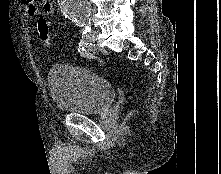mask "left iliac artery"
Returning <instances> with one entry per match:
<instances>
[{
  "instance_id": "obj_1",
  "label": "left iliac artery",
  "mask_w": 221,
  "mask_h": 174,
  "mask_svg": "<svg viewBox=\"0 0 221 174\" xmlns=\"http://www.w3.org/2000/svg\"><path fill=\"white\" fill-rule=\"evenodd\" d=\"M78 24H79L80 26H82V27L85 28V29H84V32H83L84 36H85L88 32L91 31V23H90V20H88V19H83L82 21H79ZM78 51L80 52V54H81L82 56L87 57V58H91V59H96V60H98L100 63L104 64V61H103L100 57H98V56H96V55H94V54H92V53H90V52H88V51L86 50V48H85V43H84L83 40H81L80 43H79Z\"/></svg>"
}]
</instances>
